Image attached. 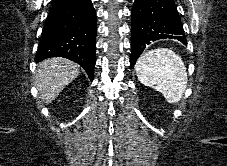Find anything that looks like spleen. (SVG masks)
I'll list each match as a JSON object with an SVG mask.
<instances>
[{
	"label": "spleen",
	"mask_w": 227,
	"mask_h": 166,
	"mask_svg": "<svg viewBox=\"0 0 227 166\" xmlns=\"http://www.w3.org/2000/svg\"><path fill=\"white\" fill-rule=\"evenodd\" d=\"M139 81L160 92L170 104L178 103L187 87V71L181 57L158 48L143 53L135 65Z\"/></svg>",
	"instance_id": "obj_1"
}]
</instances>
